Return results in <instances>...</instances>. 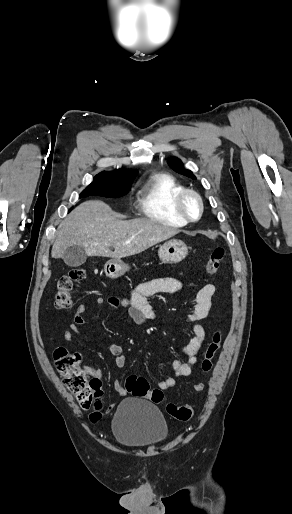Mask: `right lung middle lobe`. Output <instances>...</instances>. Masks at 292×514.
Returning <instances> with one entry per match:
<instances>
[{
	"label": "right lung middle lobe",
	"mask_w": 292,
	"mask_h": 514,
	"mask_svg": "<svg viewBox=\"0 0 292 514\" xmlns=\"http://www.w3.org/2000/svg\"><path fill=\"white\" fill-rule=\"evenodd\" d=\"M132 182L133 180H109L94 178L93 182L81 192L79 197H122L128 193V191L131 188Z\"/></svg>",
	"instance_id": "dd1d6c3e"
}]
</instances>
